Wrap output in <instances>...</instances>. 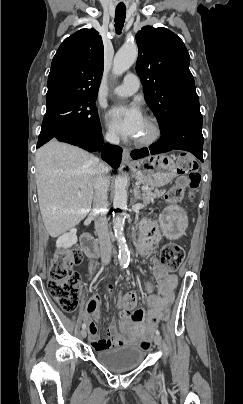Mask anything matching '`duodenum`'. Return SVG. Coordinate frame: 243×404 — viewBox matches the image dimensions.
<instances>
[{
    "label": "duodenum",
    "instance_id": "obj_1",
    "mask_svg": "<svg viewBox=\"0 0 243 404\" xmlns=\"http://www.w3.org/2000/svg\"><path fill=\"white\" fill-rule=\"evenodd\" d=\"M81 247L83 252L90 258H98L100 251L94 238L89 233L81 236Z\"/></svg>",
    "mask_w": 243,
    "mask_h": 404
}]
</instances>
